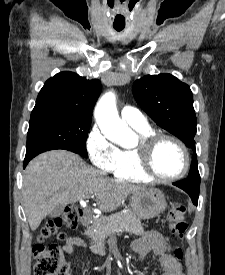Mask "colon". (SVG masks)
<instances>
[{"label":"colon","mask_w":225,"mask_h":275,"mask_svg":"<svg viewBox=\"0 0 225 275\" xmlns=\"http://www.w3.org/2000/svg\"><path fill=\"white\" fill-rule=\"evenodd\" d=\"M185 206L181 203H174L167 212V222L169 224L172 237L175 239H183L189 224L185 219ZM81 210L77 206H69L65 212L50 220L42 229L39 235V243L34 248V275H69V264L64 258L61 249L58 246H44L42 241L57 235L59 239L65 236L60 232L64 225L68 228L77 226ZM174 256L182 259L183 250L177 246L174 248Z\"/></svg>","instance_id":"obj_1"}]
</instances>
